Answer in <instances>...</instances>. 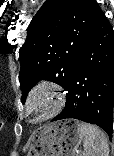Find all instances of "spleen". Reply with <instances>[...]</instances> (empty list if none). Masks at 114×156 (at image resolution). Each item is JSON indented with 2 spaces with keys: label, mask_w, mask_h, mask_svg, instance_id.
<instances>
[{
  "label": "spleen",
  "mask_w": 114,
  "mask_h": 156,
  "mask_svg": "<svg viewBox=\"0 0 114 156\" xmlns=\"http://www.w3.org/2000/svg\"><path fill=\"white\" fill-rule=\"evenodd\" d=\"M79 130L83 136V156H109L108 141L103 131L85 122L79 123Z\"/></svg>",
  "instance_id": "obj_1"
}]
</instances>
